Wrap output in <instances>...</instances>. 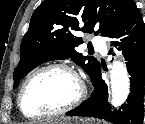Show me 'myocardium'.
I'll return each mask as SVG.
<instances>
[{
    "label": "myocardium",
    "mask_w": 145,
    "mask_h": 124,
    "mask_svg": "<svg viewBox=\"0 0 145 124\" xmlns=\"http://www.w3.org/2000/svg\"><path fill=\"white\" fill-rule=\"evenodd\" d=\"M52 69H60L63 71H66L67 73L71 74L78 82L79 84V93L76 96L75 99H73L71 102H69L67 105L63 106L62 108H59L57 110L47 112V113H40V114H27L24 110L23 106V98L25 91L29 84L32 82V80L38 76L40 73L45 72L47 70H52ZM87 95V87L80 75L69 65L65 63H50L44 66H41L40 68L36 69L34 72H32L25 82L22 84L19 94H18V106L20 109V112L22 115L28 119H44V118H49V117H55L59 115H63L75 107H77L85 98Z\"/></svg>",
    "instance_id": "1"
}]
</instances>
